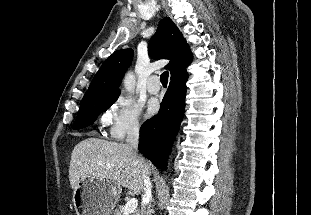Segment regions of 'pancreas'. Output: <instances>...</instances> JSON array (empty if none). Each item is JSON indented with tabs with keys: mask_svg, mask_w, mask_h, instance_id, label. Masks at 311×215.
Instances as JSON below:
<instances>
[{
	"mask_svg": "<svg viewBox=\"0 0 311 215\" xmlns=\"http://www.w3.org/2000/svg\"><path fill=\"white\" fill-rule=\"evenodd\" d=\"M114 215H124V206L118 205V208L114 210ZM135 215V214H132Z\"/></svg>",
	"mask_w": 311,
	"mask_h": 215,
	"instance_id": "pancreas-1",
	"label": "pancreas"
}]
</instances>
